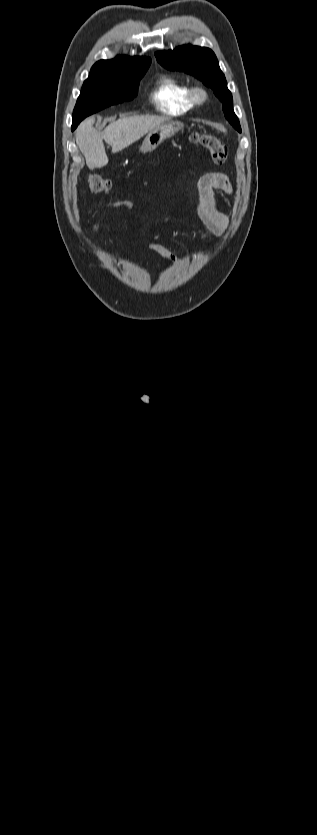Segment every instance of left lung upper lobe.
<instances>
[{
  "instance_id": "left-lung-upper-lobe-1",
  "label": "left lung upper lobe",
  "mask_w": 317,
  "mask_h": 835,
  "mask_svg": "<svg viewBox=\"0 0 317 835\" xmlns=\"http://www.w3.org/2000/svg\"><path fill=\"white\" fill-rule=\"evenodd\" d=\"M155 55L165 68L191 74L212 88L214 94L223 103L226 119L238 132H241L239 120L233 111L231 92L227 88L225 76L211 49L187 45L177 47L174 51H160Z\"/></svg>"
}]
</instances>
